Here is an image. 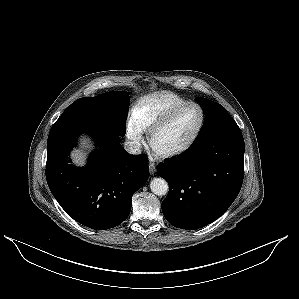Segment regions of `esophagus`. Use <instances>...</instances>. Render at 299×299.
Wrapping results in <instances>:
<instances>
[{
	"label": "esophagus",
	"mask_w": 299,
	"mask_h": 299,
	"mask_svg": "<svg viewBox=\"0 0 299 299\" xmlns=\"http://www.w3.org/2000/svg\"><path fill=\"white\" fill-rule=\"evenodd\" d=\"M149 171H150V174H152V175H154L155 172H156V167H155V164L153 162L149 163Z\"/></svg>",
	"instance_id": "obj_1"
}]
</instances>
